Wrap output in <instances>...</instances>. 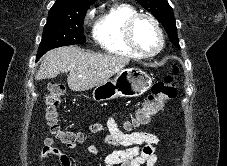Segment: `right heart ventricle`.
Here are the masks:
<instances>
[{"mask_svg": "<svg viewBox=\"0 0 227 166\" xmlns=\"http://www.w3.org/2000/svg\"><path fill=\"white\" fill-rule=\"evenodd\" d=\"M135 14L136 9L125 2L114 3L103 11L93 27V36L99 47L110 54L139 58L128 46L124 35L127 20Z\"/></svg>", "mask_w": 227, "mask_h": 166, "instance_id": "1", "label": "right heart ventricle"}]
</instances>
